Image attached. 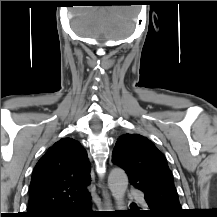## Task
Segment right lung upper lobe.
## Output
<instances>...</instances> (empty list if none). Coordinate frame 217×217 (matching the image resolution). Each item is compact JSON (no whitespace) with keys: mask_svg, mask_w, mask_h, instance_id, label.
<instances>
[{"mask_svg":"<svg viewBox=\"0 0 217 217\" xmlns=\"http://www.w3.org/2000/svg\"><path fill=\"white\" fill-rule=\"evenodd\" d=\"M90 162L86 150L71 138L56 142L35 166L26 217H46L90 198Z\"/></svg>","mask_w":217,"mask_h":217,"instance_id":"right-lung-upper-lobe-1","label":"right lung upper lobe"}]
</instances>
